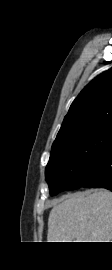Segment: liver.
Segmentation results:
<instances>
[{"mask_svg": "<svg viewBox=\"0 0 112 270\" xmlns=\"http://www.w3.org/2000/svg\"><path fill=\"white\" fill-rule=\"evenodd\" d=\"M48 242L112 240V192L99 189L68 195L48 219Z\"/></svg>", "mask_w": 112, "mask_h": 270, "instance_id": "obj_1", "label": "liver"}]
</instances>
